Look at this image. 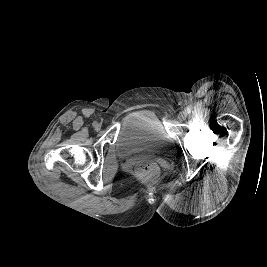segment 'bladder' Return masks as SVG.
Instances as JSON below:
<instances>
[{
	"label": "bladder",
	"mask_w": 267,
	"mask_h": 267,
	"mask_svg": "<svg viewBox=\"0 0 267 267\" xmlns=\"http://www.w3.org/2000/svg\"><path fill=\"white\" fill-rule=\"evenodd\" d=\"M168 137L155 115L146 110L131 114L121 125L114 153L118 158L157 154L166 149Z\"/></svg>",
	"instance_id": "31cf9c89"
}]
</instances>
